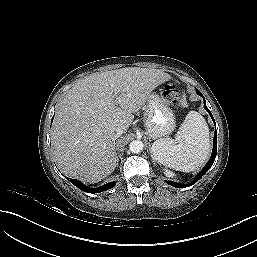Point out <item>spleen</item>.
<instances>
[{"label":"spleen","instance_id":"obj_1","mask_svg":"<svg viewBox=\"0 0 257 257\" xmlns=\"http://www.w3.org/2000/svg\"><path fill=\"white\" fill-rule=\"evenodd\" d=\"M151 152L159 163L177 171L198 169L210 152L209 128L205 119L198 112L190 111L175 139L156 140Z\"/></svg>","mask_w":257,"mask_h":257}]
</instances>
